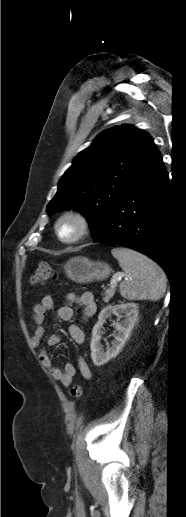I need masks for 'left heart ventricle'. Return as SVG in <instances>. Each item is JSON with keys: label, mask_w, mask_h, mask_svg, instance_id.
<instances>
[{"label": "left heart ventricle", "mask_w": 186, "mask_h": 517, "mask_svg": "<svg viewBox=\"0 0 186 517\" xmlns=\"http://www.w3.org/2000/svg\"><path fill=\"white\" fill-rule=\"evenodd\" d=\"M77 231V225L73 221H64L60 226V233L65 238L72 237Z\"/></svg>", "instance_id": "1"}]
</instances>
